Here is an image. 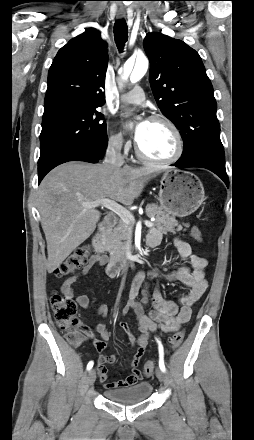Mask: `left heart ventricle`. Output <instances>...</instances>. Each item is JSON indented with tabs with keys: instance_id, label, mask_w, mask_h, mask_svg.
<instances>
[{
	"instance_id": "left-heart-ventricle-1",
	"label": "left heart ventricle",
	"mask_w": 254,
	"mask_h": 440,
	"mask_svg": "<svg viewBox=\"0 0 254 440\" xmlns=\"http://www.w3.org/2000/svg\"><path fill=\"white\" fill-rule=\"evenodd\" d=\"M138 145L145 155L154 159L170 158L177 149L174 133L166 124L160 122H149Z\"/></svg>"
}]
</instances>
